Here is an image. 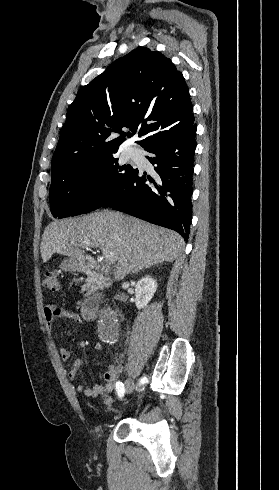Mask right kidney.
<instances>
[{"label":"right kidney","mask_w":279,"mask_h":490,"mask_svg":"<svg viewBox=\"0 0 279 490\" xmlns=\"http://www.w3.org/2000/svg\"><path fill=\"white\" fill-rule=\"evenodd\" d=\"M157 290V280H154L152 276H144L135 286V304L138 310L145 308L152 300Z\"/></svg>","instance_id":"ca27d5eb"}]
</instances>
